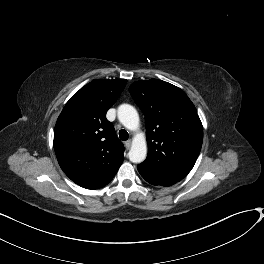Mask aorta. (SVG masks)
I'll return each instance as SVG.
<instances>
[{
	"label": "aorta",
	"instance_id": "762f6f07",
	"mask_svg": "<svg viewBox=\"0 0 264 264\" xmlns=\"http://www.w3.org/2000/svg\"><path fill=\"white\" fill-rule=\"evenodd\" d=\"M117 116L119 121L129 130H137L139 126V115L136 109L129 104H122L118 107ZM133 163H141L147 156V144L143 135H136L133 139L131 149L128 153Z\"/></svg>",
	"mask_w": 264,
	"mask_h": 264
}]
</instances>
